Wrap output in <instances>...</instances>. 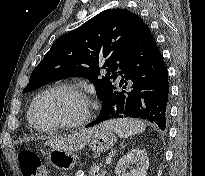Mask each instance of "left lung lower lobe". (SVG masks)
<instances>
[{
    "label": "left lung lower lobe",
    "mask_w": 205,
    "mask_h": 176,
    "mask_svg": "<svg viewBox=\"0 0 205 176\" xmlns=\"http://www.w3.org/2000/svg\"><path fill=\"white\" fill-rule=\"evenodd\" d=\"M121 80L102 99V110L91 127L117 118H141L166 128L168 71L153 35L146 25L123 59ZM130 81V82H128ZM119 87L125 89L118 91Z\"/></svg>",
    "instance_id": "obj_1"
}]
</instances>
